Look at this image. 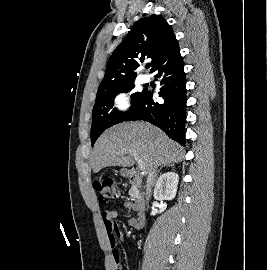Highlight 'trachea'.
Returning a JSON list of instances; mask_svg holds the SVG:
<instances>
[{
    "label": "trachea",
    "mask_w": 267,
    "mask_h": 270,
    "mask_svg": "<svg viewBox=\"0 0 267 270\" xmlns=\"http://www.w3.org/2000/svg\"><path fill=\"white\" fill-rule=\"evenodd\" d=\"M150 67V65H146V68H149Z\"/></svg>",
    "instance_id": "1"
}]
</instances>
